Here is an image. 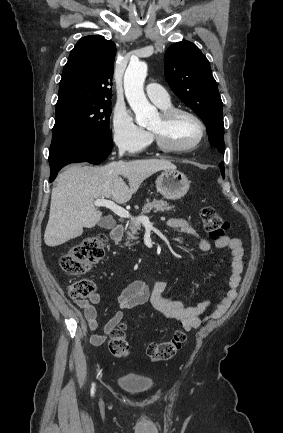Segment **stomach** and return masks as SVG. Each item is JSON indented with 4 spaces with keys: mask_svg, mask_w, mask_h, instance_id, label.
Listing matches in <instances>:
<instances>
[{
    "mask_svg": "<svg viewBox=\"0 0 283 433\" xmlns=\"http://www.w3.org/2000/svg\"><path fill=\"white\" fill-rule=\"evenodd\" d=\"M189 180L186 174L179 170H164L156 178V188L160 194L170 200H177L186 194L189 188Z\"/></svg>",
    "mask_w": 283,
    "mask_h": 433,
    "instance_id": "0dacf381",
    "label": "stomach"
}]
</instances>
